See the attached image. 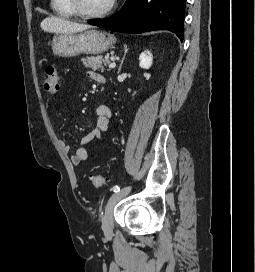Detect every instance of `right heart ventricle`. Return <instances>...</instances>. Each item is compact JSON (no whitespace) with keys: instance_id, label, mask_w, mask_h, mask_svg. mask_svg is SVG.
Here are the masks:
<instances>
[{"instance_id":"right-heart-ventricle-1","label":"right heart ventricle","mask_w":255,"mask_h":272,"mask_svg":"<svg viewBox=\"0 0 255 272\" xmlns=\"http://www.w3.org/2000/svg\"><path fill=\"white\" fill-rule=\"evenodd\" d=\"M50 6L52 11L59 16L67 18L76 16L75 12L70 7L68 0H51Z\"/></svg>"}]
</instances>
